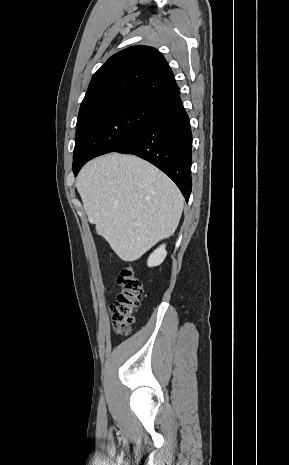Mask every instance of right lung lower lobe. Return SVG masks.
<instances>
[{
  "instance_id": "right-lung-lower-lobe-1",
  "label": "right lung lower lobe",
  "mask_w": 289,
  "mask_h": 465,
  "mask_svg": "<svg viewBox=\"0 0 289 465\" xmlns=\"http://www.w3.org/2000/svg\"><path fill=\"white\" fill-rule=\"evenodd\" d=\"M192 132L179 95L160 104L156 115L116 152L141 157L167 174L188 202L191 188ZM90 159L73 166L76 176Z\"/></svg>"
}]
</instances>
